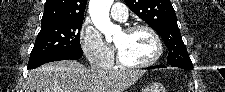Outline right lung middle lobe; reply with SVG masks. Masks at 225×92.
Instances as JSON below:
<instances>
[{"label": "right lung middle lobe", "mask_w": 225, "mask_h": 92, "mask_svg": "<svg viewBox=\"0 0 225 92\" xmlns=\"http://www.w3.org/2000/svg\"><path fill=\"white\" fill-rule=\"evenodd\" d=\"M83 22L44 23L35 40L30 59L63 51H81L80 30Z\"/></svg>", "instance_id": "obj_1"}]
</instances>
